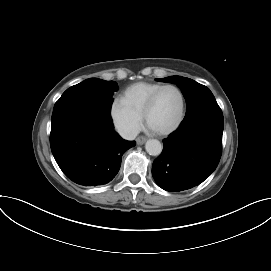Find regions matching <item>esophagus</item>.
Returning a JSON list of instances; mask_svg holds the SVG:
<instances>
[{
	"label": "esophagus",
	"mask_w": 271,
	"mask_h": 271,
	"mask_svg": "<svg viewBox=\"0 0 271 271\" xmlns=\"http://www.w3.org/2000/svg\"><path fill=\"white\" fill-rule=\"evenodd\" d=\"M146 137H144V136H140V137H138L137 139H136V143L138 144V145H143L145 142H146Z\"/></svg>",
	"instance_id": "obj_1"
}]
</instances>
